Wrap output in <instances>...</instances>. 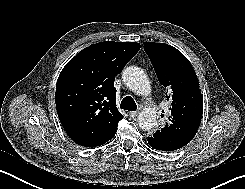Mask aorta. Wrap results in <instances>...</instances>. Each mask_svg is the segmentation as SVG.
I'll return each mask as SVG.
<instances>
[{"instance_id": "762f6f07", "label": "aorta", "mask_w": 245, "mask_h": 189, "mask_svg": "<svg viewBox=\"0 0 245 189\" xmlns=\"http://www.w3.org/2000/svg\"><path fill=\"white\" fill-rule=\"evenodd\" d=\"M122 79L124 84L138 95L147 96L151 92L149 79L145 72L136 66H129L123 70ZM138 126L149 131L157 124L156 112L152 108L143 109L137 118Z\"/></svg>"}]
</instances>
